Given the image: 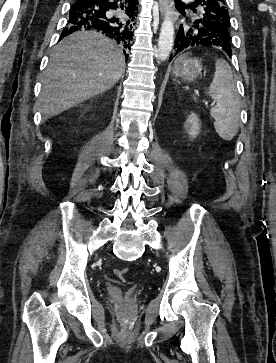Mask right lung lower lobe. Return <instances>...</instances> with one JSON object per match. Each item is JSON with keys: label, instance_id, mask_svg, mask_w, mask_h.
Masks as SVG:
<instances>
[{"label": "right lung lower lobe", "instance_id": "right-lung-lower-lobe-1", "mask_svg": "<svg viewBox=\"0 0 276 363\" xmlns=\"http://www.w3.org/2000/svg\"><path fill=\"white\" fill-rule=\"evenodd\" d=\"M113 10H123L114 17ZM136 0H75L69 11V19L60 40L76 31L93 30L115 40L126 56L133 39L132 24L136 16Z\"/></svg>", "mask_w": 276, "mask_h": 363}]
</instances>
